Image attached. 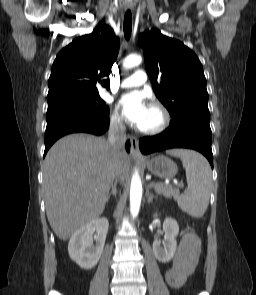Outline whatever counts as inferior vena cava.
Wrapping results in <instances>:
<instances>
[{
  "label": "inferior vena cava",
  "mask_w": 256,
  "mask_h": 295,
  "mask_svg": "<svg viewBox=\"0 0 256 295\" xmlns=\"http://www.w3.org/2000/svg\"><path fill=\"white\" fill-rule=\"evenodd\" d=\"M125 141V126L119 118H115L111 121L108 134V143L113 157V164H111V176L113 179L121 177L120 167L122 159H120V156L124 149Z\"/></svg>",
  "instance_id": "inferior-vena-cava-1"
}]
</instances>
